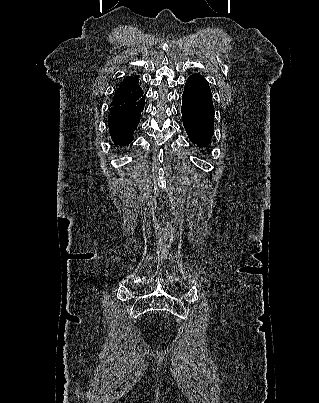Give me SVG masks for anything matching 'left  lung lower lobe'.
I'll return each mask as SVG.
<instances>
[{
	"instance_id": "0a47b994",
	"label": "left lung lower lobe",
	"mask_w": 319,
	"mask_h": 403,
	"mask_svg": "<svg viewBox=\"0 0 319 403\" xmlns=\"http://www.w3.org/2000/svg\"><path fill=\"white\" fill-rule=\"evenodd\" d=\"M183 125L191 142L206 147L214 132V107L210 87L200 74L191 75L182 95Z\"/></svg>"
}]
</instances>
